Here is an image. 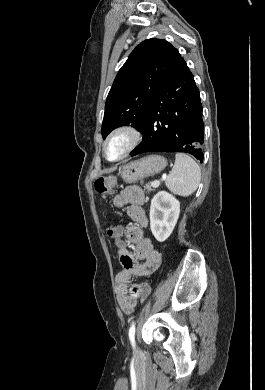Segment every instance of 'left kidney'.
Segmentation results:
<instances>
[{
    "mask_svg": "<svg viewBox=\"0 0 265 390\" xmlns=\"http://www.w3.org/2000/svg\"><path fill=\"white\" fill-rule=\"evenodd\" d=\"M180 213V202L166 191L158 192L151 200L150 228L159 242L172 233Z\"/></svg>",
    "mask_w": 265,
    "mask_h": 390,
    "instance_id": "5707ae66",
    "label": "left kidney"
}]
</instances>
